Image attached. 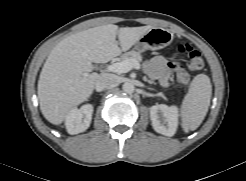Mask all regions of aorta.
Segmentation results:
<instances>
[{"label": "aorta", "mask_w": 246, "mask_h": 181, "mask_svg": "<svg viewBox=\"0 0 246 181\" xmlns=\"http://www.w3.org/2000/svg\"><path fill=\"white\" fill-rule=\"evenodd\" d=\"M122 89L127 94H132L135 91V86L132 82H125L122 86Z\"/></svg>", "instance_id": "1"}]
</instances>
